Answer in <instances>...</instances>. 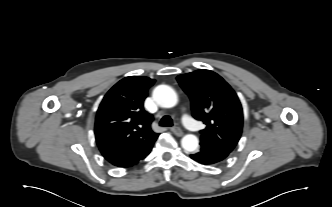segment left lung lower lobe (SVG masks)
<instances>
[{"instance_id": "1", "label": "left lung lower lobe", "mask_w": 332, "mask_h": 207, "mask_svg": "<svg viewBox=\"0 0 332 207\" xmlns=\"http://www.w3.org/2000/svg\"><path fill=\"white\" fill-rule=\"evenodd\" d=\"M200 145H201L200 149L190 155V157L194 161L200 164L203 165L216 164L224 160L229 155L228 152L221 150L219 148L204 144Z\"/></svg>"}]
</instances>
